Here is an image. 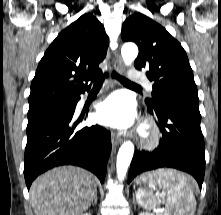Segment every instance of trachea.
<instances>
[{
  "label": "trachea",
  "instance_id": "trachea-1",
  "mask_svg": "<svg viewBox=\"0 0 221 215\" xmlns=\"http://www.w3.org/2000/svg\"><path fill=\"white\" fill-rule=\"evenodd\" d=\"M112 76L114 78H116L117 80H119L121 83L123 84H127V85H132V86H135V87H140L139 85L135 84V83H132L131 81L125 79L124 77L120 76L119 74H117L116 72H112ZM108 77V73H105L103 76H101L100 78H98L95 83H94V86L93 88H100L103 84V81L104 79Z\"/></svg>",
  "mask_w": 221,
  "mask_h": 215
}]
</instances>
